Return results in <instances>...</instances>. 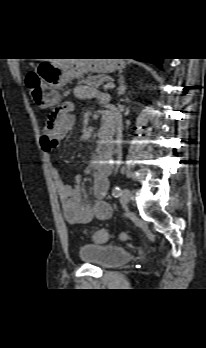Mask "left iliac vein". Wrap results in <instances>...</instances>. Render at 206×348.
Listing matches in <instances>:
<instances>
[{
	"mask_svg": "<svg viewBox=\"0 0 206 348\" xmlns=\"http://www.w3.org/2000/svg\"><path fill=\"white\" fill-rule=\"evenodd\" d=\"M132 193L129 189H123L120 194V203L122 205H128L131 201Z\"/></svg>",
	"mask_w": 206,
	"mask_h": 348,
	"instance_id": "left-iliac-vein-1",
	"label": "left iliac vein"
}]
</instances>
